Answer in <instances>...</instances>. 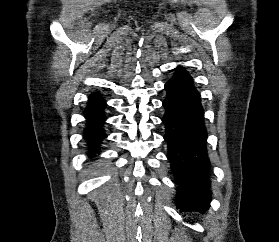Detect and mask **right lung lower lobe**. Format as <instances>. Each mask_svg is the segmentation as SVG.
Here are the masks:
<instances>
[{"instance_id":"1","label":"right lung lower lobe","mask_w":279,"mask_h":242,"mask_svg":"<svg viewBox=\"0 0 279 242\" xmlns=\"http://www.w3.org/2000/svg\"><path fill=\"white\" fill-rule=\"evenodd\" d=\"M106 104L102 96L93 93L89 97V104L85 109L84 136L88 149L92 155L99 153L101 143L106 138L104 131V108Z\"/></svg>"}]
</instances>
